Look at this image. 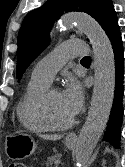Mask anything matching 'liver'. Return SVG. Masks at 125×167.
Wrapping results in <instances>:
<instances>
[{"instance_id":"1","label":"liver","mask_w":125,"mask_h":167,"mask_svg":"<svg viewBox=\"0 0 125 167\" xmlns=\"http://www.w3.org/2000/svg\"><path fill=\"white\" fill-rule=\"evenodd\" d=\"M41 137L43 139H47V140H60L62 138L61 135H41Z\"/></svg>"}]
</instances>
